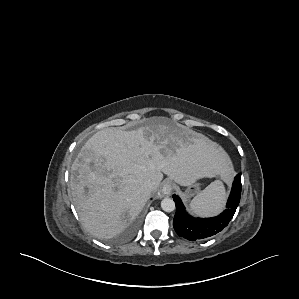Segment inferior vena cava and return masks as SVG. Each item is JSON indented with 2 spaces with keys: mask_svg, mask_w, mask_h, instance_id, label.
Instances as JSON below:
<instances>
[{
  "mask_svg": "<svg viewBox=\"0 0 299 299\" xmlns=\"http://www.w3.org/2000/svg\"><path fill=\"white\" fill-rule=\"evenodd\" d=\"M145 185H146V187H147V189H148L149 191H152V190H153V185H152L151 182H147Z\"/></svg>",
  "mask_w": 299,
  "mask_h": 299,
  "instance_id": "obj_1",
  "label": "inferior vena cava"
}]
</instances>
